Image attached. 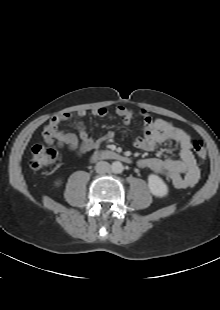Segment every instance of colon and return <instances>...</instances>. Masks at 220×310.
Listing matches in <instances>:
<instances>
[{
	"label": "colon",
	"mask_w": 220,
	"mask_h": 310,
	"mask_svg": "<svg viewBox=\"0 0 220 310\" xmlns=\"http://www.w3.org/2000/svg\"><path fill=\"white\" fill-rule=\"evenodd\" d=\"M193 149L200 161L207 159V148L202 141H194ZM59 159V153L50 147L41 143H36L31 148L30 167L34 170H40L48 167Z\"/></svg>",
	"instance_id": "obj_1"
}]
</instances>
